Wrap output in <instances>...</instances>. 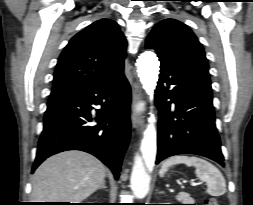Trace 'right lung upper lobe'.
I'll return each mask as SVG.
<instances>
[{
  "mask_svg": "<svg viewBox=\"0 0 253 205\" xmlns=\"http://www.w3.org/2000/svg\"><path fill=\"white\" fill-rule=\"evenodd\" d=\"M126 39L117 23L100 19L76 34L61 53L51 96L94 86L123 72Z\"/></svg>",
  "mask_w": 253,
  "mask_h": 205,
  "instance_id": "obj_1",
  "label": "right lung upper lobe"
}]
</instances>
